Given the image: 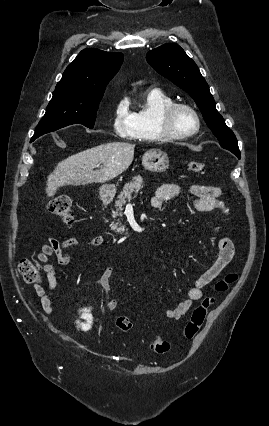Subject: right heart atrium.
Returning a JSON list of instances; mask_svg holds the SVG:
<instances>
[{
	"instance_id": "obj_1",
	"label": "right heart atrium",
	"mask_w": 269,
	"mask_h": 426,
	"mask_svg": "<svg viewBox=\"0 0 269 426\" xmlns=\"http://www.w3.org/2000/svg\"><path fill=\"white\" fill-rule=\"evenodd\" d=\"M113 133L123 139L135 137V117L131 111L129 102L125 98L118 99L114 106L111 119Z\"/></svg>"
}]
</instances>
